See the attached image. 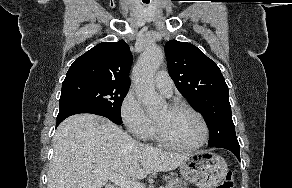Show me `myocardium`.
I'll use <instances>...</instances> for the list:
<instances>
[{
	"mask_svg": "<svg viewBox=\"0 0 292 188\" xmlns=\"http://www.w3.org/2000/svg\"><path fill=\"white\" fill-rule=\"evenodd\" d=\"M167 108L172 112L187 111V112L194 114L200 120V122L202 124L203 135H202L201 139L196 144L181 145V144H178V143L172 141L165 134L161 125L155 120L154 121L155 132H156V136H157L158 140L160 141V143H162L166 147L176 149V150H182V151H194V150H197V149L203 147L207 143V141L209 139V135H210V129H209V125H208L206 118L204 117V115L200 111L196 110L195 108H193L187 104H183V103H173V104H170L169 106H167Z\"/></svg>",
	"mask_w": 292,
	"mask_h": 188,
	"instance_id": "1",
	"label": "myocardium"
}]
</instances>
